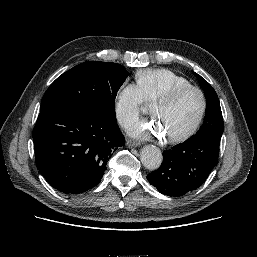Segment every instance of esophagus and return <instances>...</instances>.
<instances>
[{
    "instance_id": "obj_1",
    "label": "esophagus",
    "mask_w": 257,
    "mask_h": 257,
    "mask_svg": "<svg viewBox=\"0 0 257 257\" xmlns=\"http://www.w3.org/2000/svg\"><path fill=\"white\" fill-rule=\"evenodd\" d=\"M140 144V142L136 141V140H132V139H127L126 140V145L129 147H136Z\"/></svg>"
}]
</instances>
